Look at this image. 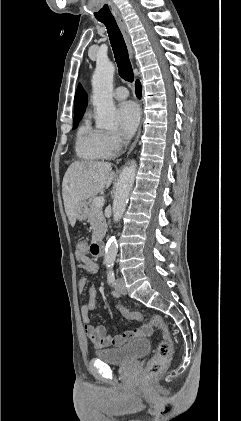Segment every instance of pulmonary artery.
I'll return each instance as SVG.
<instances>
[{"label": "pulmonary artery", "instance_id": "1", "mask_svg": "<svg viewBox=\"0 0 241 421\" xmlns=\"http://www.w3.org/2000/svg\"><path fill=\"white\" fill-rule=\"evenodd\" d=\"M128 95H129L128 90L123 86L117 87L113 92L114 98H116L118 100H123V99L127 98Z\"/></svg>", "mask_w": 241, "mask_h": 421}]
</instances>
